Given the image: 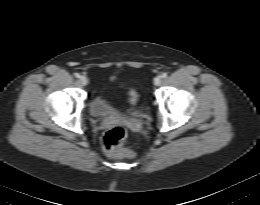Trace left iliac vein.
I'll return each instance as SVG.
<instances>
[{"label":"left iliac vein","mask_w":260,"mask_h":205,"mask_svg":"<svg viewBox=\"0 0 260 205\" xmlns=\"http://www.w3.org/2000/svg\"><path fill=\"white\" fill-rule=\"evenodd\" d=\"M161 83H162V77H161V76H157V77L154 79V84H155L156 86H159Z\"/></svg>","instance_id":"4c4485c4"}]
</instances>
